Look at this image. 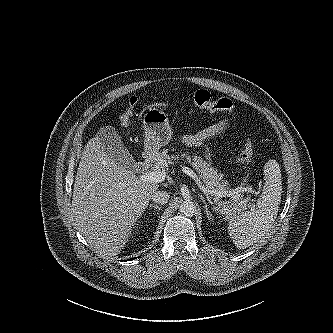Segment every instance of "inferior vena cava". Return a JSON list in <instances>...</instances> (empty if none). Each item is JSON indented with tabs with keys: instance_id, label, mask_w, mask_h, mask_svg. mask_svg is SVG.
I'll list each match as a JSON object with an SVG mask.
<instances>
[{
	"instance_id": "602c4592",
	"label": "inferior vena cava",
	"mask_w": 333,
	"mask_h": 333,
	"mask_svg": "<svg viewBox=\"0 0 333 333\" xmlns=\"http://www.w3.org/2000/svg\"><path fill=\"white\" fill-rule=\"evenodd\" d=\"M170 195L166 191H155L152 194V200L155 203L164 205L168 202Z\"/></svg>"
}]
</instances>
